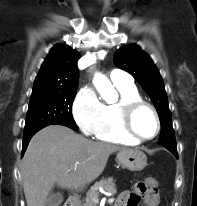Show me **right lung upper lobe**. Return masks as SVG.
I'll use <instances>...</instances> for the list:
<instances>
[{
  "label": "right lung upper lobe",
  "instance_id": "obj_1",
  "mask_svg": "<svg viewBox=\"0 0 197 206\" xmlns=\"http://www.w3.org/2000/svg\"><path fill=\"white\" fill-rule=\"evenodd\" d=\"M80 54L69 46H54L34 81L33 90L77 88Z\"/></svg>",
  "mask_w": 197,
  "mask_h": 206
}]
</instances>
